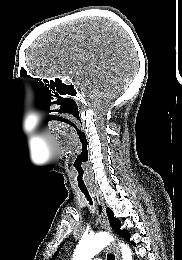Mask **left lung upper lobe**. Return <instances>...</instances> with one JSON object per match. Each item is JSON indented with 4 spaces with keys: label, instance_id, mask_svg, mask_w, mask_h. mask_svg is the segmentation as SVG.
Returning a JSON list of instances; mask_svg holds the SVG:
<instances>
[{
    "label": "left lung upper lobe",
    "instance_id": "obj_1",
    "mask_svg": "<svg viewBox=\"0 0 182 260\" xmlns=\"http://www.w3.org/2000/svg\"><path fill=\"white\" fill-rule=\"evenodd\" d=\"M107 212V216L110 222V225L112 227V229L121 237H125V235L128 233V231L126 229L121 230V223L117 218L113 217V211L110 208L106 209ZM62 247V245H61ZM59 253V249L57 250V252L54 254V256L52 257L51 260H55L57 258V255Z\"/></svg>",
    "mask_w": 182,
    "mask_h": 260
}]
</instances>
